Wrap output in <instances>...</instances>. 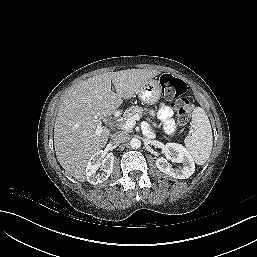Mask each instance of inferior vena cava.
<instances>
[{
  "mask_svg": "<svg viewBox=\"0 0 257 257\" xmlns=\"http://www.w3.org/2000/svg\"><path fill=\"white\" fill-rule=\"evenodd\" d=\"M128 140V135L124 132L115 133L112 137V142L116 145L125 143Z\"/></svg>",
  "mask_w": 257,
  "mask_h": 257,
  "instance_id": "inferior-vena-cava-1",
  "label": "inferior vena cava"
}]
</instances>
